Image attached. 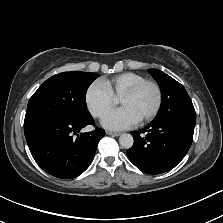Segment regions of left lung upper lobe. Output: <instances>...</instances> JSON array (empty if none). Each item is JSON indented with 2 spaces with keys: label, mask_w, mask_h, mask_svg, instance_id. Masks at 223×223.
I'll return each mask as SVG.
<instances>
[{
  "label": "left lung upper lobe",
  "mask_w": 223,
  "mask_h": 223,
  "mask_svg": "<svg viewBox=\"0 0 223 223\" xmlns=\"http://www.w3.org/2000/svg\"><path fill=\"white\" fill-rule=\"evenodd\" d=\"M161 89V106L153 122L185 120L196 122V113L185 88L166 73L149 69Z\"/></svg>",
  "instance_id": "left-lung-upper-lobe-1"
}]
</instances>
